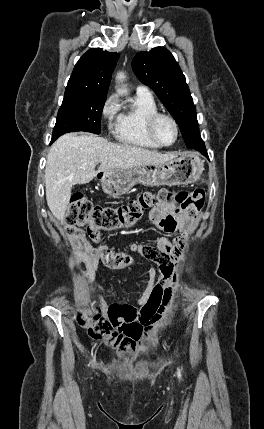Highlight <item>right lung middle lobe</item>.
I'll return each instance as SVG.
<instances>
[{
  "mask_svg": "<svg viewBox=\"0 0 264 429\" xmlns=\"http://www.w3.org/2000/svg\"><path fill=\"white\" fill-rule=\"evenodd\" d=\"M105 100L106 96L64 95L51 143L62 134L72 131L99 134L101 132V113Z\"/></svg>",
  "mask_w": 264,
  "mask_h": 429,
  "instance_id": "right-lung-middle-lobe-1",
  "label": "right lung middle lobe"
}]
</instances>
